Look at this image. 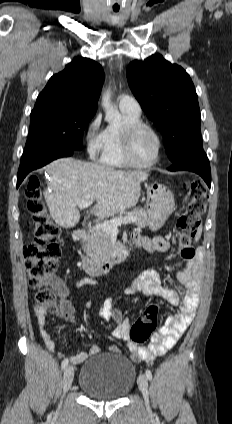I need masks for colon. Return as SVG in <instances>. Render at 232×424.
<instances>
[{"label":"colon","instance_id":"1","mask_svg":"<svg viewBox=\"0 0 232 424\" xmlns=\"http://www.w3.org/2000/svg\"><path fill=\"white\" fill-rule=\"evenodd\" d=\"M186 208L177 220L178 254L183 260L194 256L192 241L196 237L202 215L207 208L206 187L200 180L185 183ZM25 196L28 210L34 224V237L24 248L25 265L29 282L36 291V299L53 313H63L57 304L58 280L54 273L59 258V229L52 222L43 199L41 182L38 177L29 178ZM160 306L149 305L130 329L131 341L144 343L153 333L158 323Z\"/></svg>","mask_w":232,"mask_h":424}]
</instances>
